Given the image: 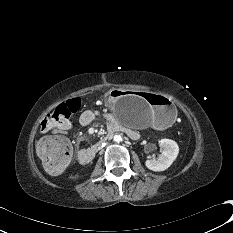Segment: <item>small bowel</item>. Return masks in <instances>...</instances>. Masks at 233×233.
Returning a JSON list of instances; mask_svg holds the SVG:
<instances>
[{
  "instance_id": "small-bowel-1",
  "label": "small bowel",
  "mask_w": 233,
  "mask_h": 233,
  "mask_svg": "<svg viewBox=\"0 0 233 233\" xmlns=\"http://www.w3.org/2000/svg\"><path fill=\"white\" fill-rule=\"evenodd\" d=\"M98 116H102L109 123L110 126L117 124L111 114L101 112L98 109H87L83 111L79 116V124L82 126L89 125ZM69 127L70 125L66 129H63V130H68Z\"/></svg>"
}]
</instances>
